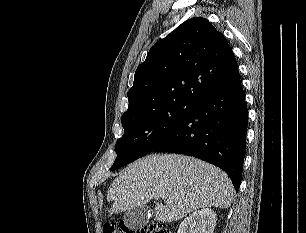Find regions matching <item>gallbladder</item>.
Segmentation results:
<instances>
[{
  "label": "gallbladder",
  "instance_id": "bac80fb5",
  "mask_svg": "<svg viewBox=\"0 0 306 233\" xmlns=\"http://www.w3.org/2000/svg\"><path fill=\"white\" fill-rule=\"evenodd\" d=\"M149 209L145 205L135 206L124 214L123 220L130 229H139L149 221Z\"/></svg>",
  "mask_w": 306,
  "mask_h": 233
}]
</instances>
